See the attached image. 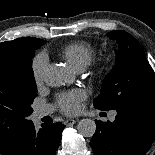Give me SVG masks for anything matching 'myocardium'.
<instances>
[{
  "label": "myocardium",
  "instance_id": "myocardium-1",
  "mask_svg": "<svg viewBox=\"0 0 155 155\" xmlns=\"http://www.w3.org/2000/svg\"><path fill=\"white\" fill-rule=\"evenodd\" d=\"M106 66V62L104 60H97L92 65V72L94 75H100Z\"/></svg>",
  "mask_w": 155,
  "mask_h": 155
}]
</instances>
